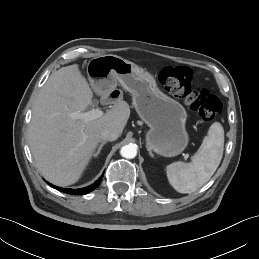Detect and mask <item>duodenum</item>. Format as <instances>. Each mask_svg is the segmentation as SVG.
Returning a JSON list of instances; mask_svg holds the SVG:
<instances>
[{"mask_svg":"<svg viewBox=\"0 0 259 259\" xmlns=\"http://www.w3.org/2000/svg\"><path fill=\"white\" fill-rule=\"evenodd\" d=\"M117 90H114L107 96V100H115L118 97V94L116 93Z\"/></svg>","mask_w":259,"mask_h":259,"instance_id":"duodenum-1","label":"duodenum"}]
</instances>
